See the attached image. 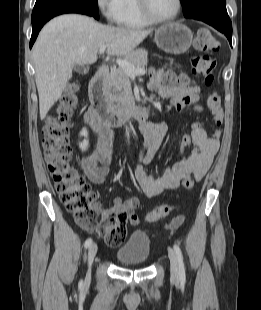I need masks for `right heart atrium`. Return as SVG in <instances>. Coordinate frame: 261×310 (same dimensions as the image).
I'll return each instance as SVG.
<instances>
[{
	"label": "right heart atrium",
	"instance_id": "d8ad5b80",
	"mask_svg": "<svg viewBox=\"0 0 261 310\" xmlns=\"http://www.w3.org/2000/svg\"><path fill=\"white\" fill-rule=\"evenodd\" d=\"M96 5L108 22L117 23L121 10V0H96Z\"/></svg>",
	"mask_w": 261,
	"mask_h": 310
}]
</instances>
